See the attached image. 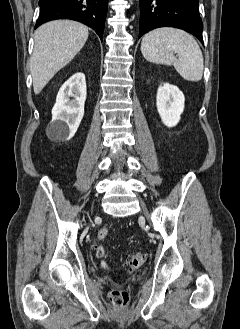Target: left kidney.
<instances>
[{
  "label": "left kidney",
  "instance_id": "obj_1",
  "mask_svg": "<svg viewBox=\"0 0 240 329\" xmlns=\"http://www.w3.org/2000/svg\"><path fill=\"white\" fill-rule=\"evenodd\" d=\"M185 97L178 87L169 83L160 85L156 95L157 111L164 125L174 127L180 121Z\"/></svg>",
  "mask_w": 240,
  "mask_h": 329
}]
</instances>
